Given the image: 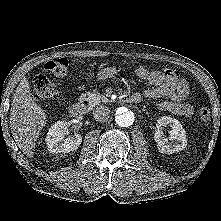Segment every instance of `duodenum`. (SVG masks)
<instances>
[{
	"instance_id": "obj_1",
	"label": "duodenum",
	"mask_w": 221,
	"mask_h": 221,
	"mask_svg": "<svg viewBox=\"0 0 221 221\" xmlns=\"http://www.w3.org/2000/svg\"><path fill=\"white\" fill-rule=\"evenodd\" d=\"M140 100L141 96L138 93H134L128 97V101L131 103H137ZM91 103L92 99L87 97L84 98L81 102H76L72 104L69 108L70 115L75 118L83 116L86 113L87 108L90 106Z\"/></svg>"
}]
</instances>
